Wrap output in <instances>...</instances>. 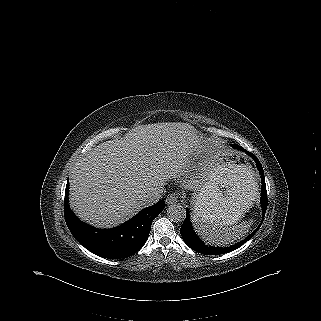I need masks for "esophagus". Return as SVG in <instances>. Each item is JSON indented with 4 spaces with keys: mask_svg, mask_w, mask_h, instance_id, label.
Wrapping results in <instances>:
<instances>
[{
    "mask_svg": "<svg viewBox=\"0 0 321 321\" xmlns=\"http://www.w3.org/2000/svg\"><path fill=\"white\" fill-rule=\"evenodd\" d=\"M179 200V196L178 194L176 193H172V194H169L167 197H166V204L167 205H170V204H174V203H177Z\"/></svg>",
    "mask_w": 321,
    "mask_h": 321,
    "instance_id": "esophagus-1",
    "label": "esophagus"
}]
</instances>
